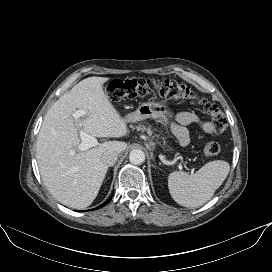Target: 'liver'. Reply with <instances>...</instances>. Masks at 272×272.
I'll return each instance as SVG.
<instances>
[{
  "label": "liver",
  "instance_id": "1",
  "mask_svg": "<svg viewBox=\"0 0 272 272\" xmlns=\"http://www.w3.org/2000/svg\"><path fill=\"white\" fill-rule=\"evenodd\" d=\"M108 80L89 77L63 94L46 113L38 134L36 153L42 180L54 198L70 208H86L98 195L108 170L103 153L120 154L127 148L125 142L106 141L85 151L78 149L80 131L114 138L129 133L103 90ZM76 109L86 112L83 119L73 118ZM70 150L75 154L70 155Z\"/></svg>",
  "mask_w": 272,
  "mask_h": 272
}]
</instances>
